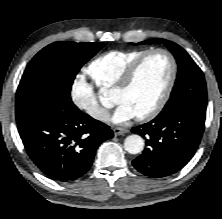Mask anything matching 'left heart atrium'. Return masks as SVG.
Segmentation results:
<instances>
[{"mask_svg": "<svg viewBox=\"0 0 222 219\" xmlns=\"http://www.w3.org/2000/svg\"><path fill=\"white\" fill-rule=\"evenodd\" d=\"M136 117L135 112L125 103H118L112 117L111 122L114 124H123Z\"/></svg>", "mask_w": 222, "mask_h": 219, "instance_id": "left-heart-atrium-1", "label": "left heart atrium"}]
</instances>
